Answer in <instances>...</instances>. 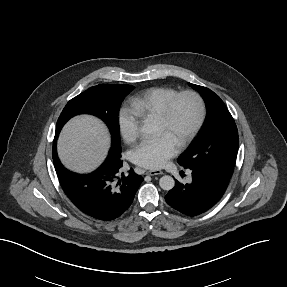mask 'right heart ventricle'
<instances>
[{"instance_id":"obj_1","label":"right heart ventricle","mask_w":287,"mask_h":287,"mask_svg":"<svg viewBox=\"0 0 287 287\" xmlns=\"http://www.w3.org/2000/svg\"><path fill=\"white\" fill-rule=\"evenodd\" d=\"M176 93L175 89L169 87L147 89L131 100V110L139 119L158 118L168 100Z\"/></svg>"}]
</instances>
